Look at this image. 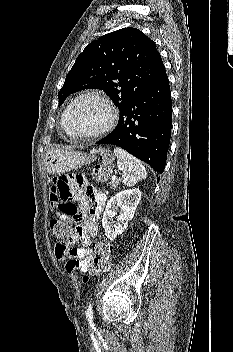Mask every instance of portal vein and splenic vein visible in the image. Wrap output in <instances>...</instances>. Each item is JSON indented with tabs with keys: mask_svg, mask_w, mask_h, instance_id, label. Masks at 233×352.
I'll use <instances>...</instances> for the list:
<instances>
[{
	"mask_svg": "<svg viewBox=\"0 0 233 352\" xmlns=\"http://www.w3.org/2000/svg\"><path fill=\"white\" fill-rule=\"evenodd\" d=\"M111 180H112V182H114L116 180V176L112 175Z\"/></svg>",
	"mask_w": 233,
	"mask_h": 352,
	"instance_id": "18ae733b",
	"label": "portal vein and splenic vein"
}]
</instances>
